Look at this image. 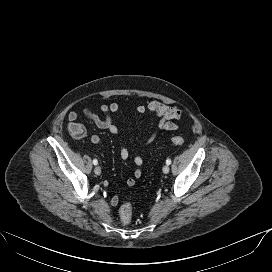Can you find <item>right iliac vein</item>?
<instances>
[{
	"mask_svg": "<svg viewBox=\"0 0 272 272\" xmlns=\"http://www.w3.org/2000/svg\"><path fill=\"white\" fill-rule=\"evenodd\" d=\"M94 172H95L96 175H100V174H101V169H100V167H99V166H96V167L94 168Z\"/></svg>",
	"mask_w": 272,
	"mask_h": 272,
	"instance_id": "obj_1",
	"label": "right iliac vein"
}]
</instances>
